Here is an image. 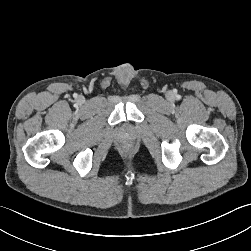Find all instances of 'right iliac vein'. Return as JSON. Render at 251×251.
I'll return each mask as SVG.
<instances>
[{"mask_svg":"<svg viewBox=\"0 0 251 251\" xmlns=\"http://www.w3.org/2000/svg\"><path fill=\"white\" fill-rule=\"evenodd\" d=\"M80 103H82L83 102V98H79V100H78Z\"/></svg>","mask_w":251,"mask_h":251,"instance_id":"1","label":"right iliac vein"}]
</instances>
